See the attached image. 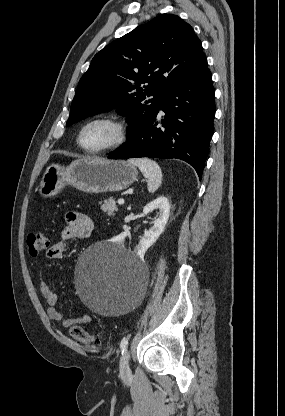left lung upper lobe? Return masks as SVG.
<instances>
[{
  "instance_id": "5c2ea615",
  "label": "left lung upper lobe",
  "mask_w": 285,
  "mask_h": 416,
  "mask_svg": "<svg viewBox=\"0 0 285 416\" xmlns=\"http://www.w3.org/2000/svg\"><path fill=\"white\" fill-rule=\"evenodd\" d=\"M204 55L188 23L174 14L155 17L95 55L79 81L66 126L116 108L126 116L130 137Z\"/></svg>"
}]
</instances>
